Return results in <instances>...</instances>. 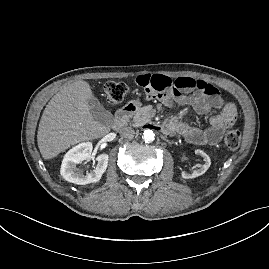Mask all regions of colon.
Returning <instances> with one entry per match:
<instances>
[{"instance_id":"obj_1","label":"colon","mask_w":269,"mask_h":269,"mask_svg":"<svg viewBox=\"0 0 269 269\" xmlns=\"http://www.w3.org/2000/svg\"><path fill=\"white\" fill-rule=\"evenodd\" d=\"M126 93L127 87L121 82H108L104 87L105 97L111 104H117L122 101ZM241 138L242 135L239 130H228L224 135V144L229 150H236L240 145Z\"/></svg>"}]
</instances>
